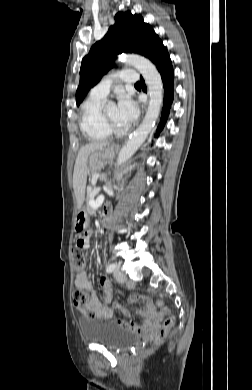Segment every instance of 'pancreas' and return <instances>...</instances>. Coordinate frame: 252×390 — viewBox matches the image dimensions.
<instances>
[{
	"label": "pancreas",
	"mask_w": 252,
	"mask_h": 390,
	"mask_svg": "<svg viewBox=\"0 0 252 390\" xmlns=\"http://www.w3.org/2000/svg\"><path fill=\"white\" fill-rule=\"evenodd\" d=\"M85 205L87 206V211L88 213L90 214L91 217H94L95 216V212H96V209L95 208H92L90 205H91V202H89L88 200V197H87V201L85 202Z\"/></svg>",
	"instance_id": "cf45deb5"
}]
</instances>
